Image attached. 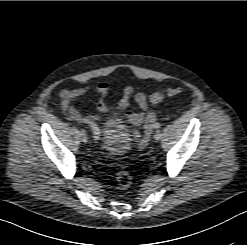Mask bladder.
<instances>
[{
	"label": "bladder",
	"instance_id": "bladder-1",
	"mask_svg": "<svg viewBox=\"0 0 247 245\" xmlns=\"http://www.w3.org/2000/svg\"><path fill=\"white\" fill-rule=\"evenodd\" d=\"M118 118L116 112L109 114L103 121L102 132L99 135L102 150L112 155L125 153L131 144L127 132L119 128Z\"/></svg>",
	"mask_w": 247,
	"mask_h": 245
}]
</instances>
